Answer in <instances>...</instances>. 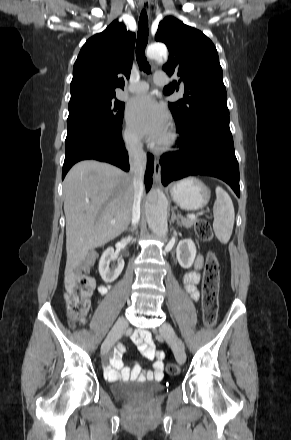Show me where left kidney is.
<instances>
[{"label":"left kidney","instance_id":"left-kidney-1","mask_svg":"<svg viewBox=\"0 0 291 440\" xmlns=\"http://www.w3.org/2000/svg\"><path fill=\"white\" fill-rule=\"evenodd\" d=\"M176 257L182 268L188 269L192 266L196 257V246L192 239H185L178 243Z\"/></svg>","mask_w":291,"mask_h":440}]
</instances>
